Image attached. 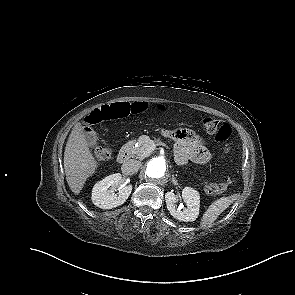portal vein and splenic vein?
Returning a JSON list of instances; mask_svg holds the SVG:
<instances>
[{
	"instance_id": "portal-vein-and-splenic-vein-1",
	"label": "portal vein and splenic vein",
	"mask_w": 295,
	"mask_h": 295,
	"mask_svg": "<svg viewBox=\"0 0 295 295\" xmlns=\"http://www.w3.org/2000/svg\"><path fill=\"white\" fill-rule=\"evenodd\" d=\"M155 144H153L151 147H150V150H154L155 149Z\"/></svg>"
}]
</instances>
